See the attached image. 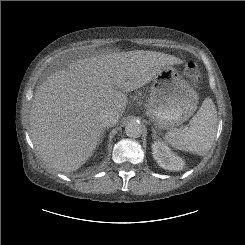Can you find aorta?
I'll list each match as a JSON object with an SVG mask.
<instances>
[{
  "label": "aorta",
  "mask_w": 245,
  "mask_h": 245,
  "mask_svg": "<svg viewBox=\"0 0 245 245\" xmlns=\"http://www.w3.org/2000/svg\"><path fill=\"white\" fill-rule=\"evenodd\" d=\"M125 132L130 138H138L142 134V125L139 121H130L125 126Z\"/></svg>",
  "instance_id": "obj_1"
}]
</instances>
